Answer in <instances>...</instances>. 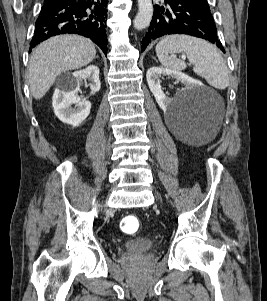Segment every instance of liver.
Here are the masks:
<instances>
[{"label": "liver", "instance_id": "6515ba94", "mask_svg": "<svg viewBox=\"0 0 267 301\" xmlns=\"http://www.w3.org/2000/svg\"><path fill=\"white\" fill-rule=\"evenodd\" d=\"M95 56L94 43L79 35H60L40 43L33 50L29 64L32 96L41 99L60 73L80 69Z\"/></svg>", "mask_w": 267, "mask_h": 301}]
</instances>
